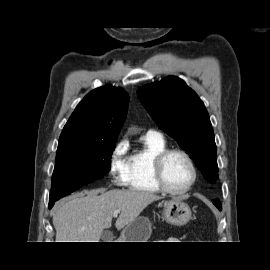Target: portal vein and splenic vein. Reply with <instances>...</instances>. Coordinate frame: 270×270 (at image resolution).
Returning <instances> with one entry per match:
<instances>
[{
	"label": "portal vein and splenic vein",
	"mask_w": 270,
	"mask_h": 270,
	"mask_svg": "<svg viewBox=\"0 0 270 270\" xmlns=\"http://www.w3.org/2000/svg\"><path fill=\"white\" fill-rule=\"evenodd\" d=\"M119 212H120L119 210L114 211L113 216H114V217H117L118 214H119Z\"/></svg>",
	"instance_id": "1"
}]
</instances>
